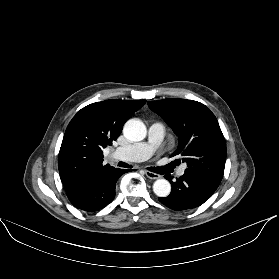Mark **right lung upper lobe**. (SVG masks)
<instances>
[{
	"mask_svg": "<svg viewBox=\"0 0 279 279\" xmlns=\"http://www.w3.org/2000/svg\"><path fill=\"white\" fill-rule=\"evenodd\" d=\"M146 100H106L82 108L69 123L59 152L58 166L66 191L115 171L103 164V149L116 140L125 122Z\"/></svg>",
	"mask_w": 279,
	"mask_h": 279,
	"instance_id": "right-lung-upper-lobe-1",
	"label": "right lung upper lobe"
}]
</instances>
